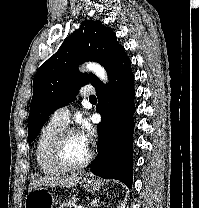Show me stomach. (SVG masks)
<instances>
[{"label":"stomach","instance_id":"stomach-1","mask_svg":"<svg viewBox=\"0 0 199 208\" xmlns=\"http://www.w3.org/2000/svg\"><path fill=\"white\" fill-rule=\"evenodd\" d=\"M80 184L89 193L99 191L101 186L100 181L93 178H84ZM54 204L53 194L44 187L33 189L27 194L24 202L25 208H53Z\"/></svg>","mask_w":199,"mask_h":208}]
</instances>
